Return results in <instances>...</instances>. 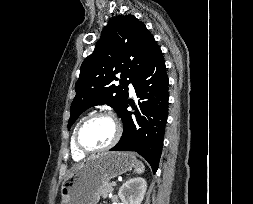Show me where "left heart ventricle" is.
<instances>
[{"instance_id": "obj_1", "label": "left heart ventricle", "mask_w": 253, "mask_h": 204, "mask_svg": "<svg viewBox=\"0 0 253 204\" xmlns=\"http://www.w3.org/2000/svg\"><path fill=\"white\" fill-rule=\"evenodd\" d=\"M116 132L112 120L96 117L88 121L81 129L80 141L88 149H97L107 145Z\"/></svg>"}]
</instances>
